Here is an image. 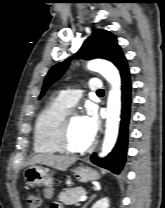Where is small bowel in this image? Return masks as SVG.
Segmentation results:
<instances>
[{
	"label": "small bowel",
	"instance_id": "c3829d8e",
	"mask_svg": "<svg viewBox=\"0 0 165 208\" xmlns=\"http://www.w3.org/2000/svg\"><path fill=\"white\" fill-rule=\"evenodd\" d=\"M45 195L47 197H50L52 195V190L51 189H46L45 190ZM51 208H63V207L60 204H58V203H53Z\"/></svg>",
	"mask_w": 165,
	"mask_h": 208
}]
</instances>
